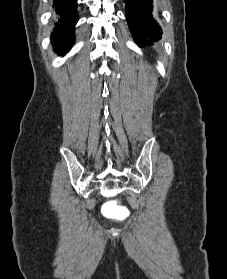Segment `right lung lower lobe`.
Instances as JSON below:
<instances>
[{"mask_svg": "<svg viewBox=\"0 0 227 279\" xmlns=\"http://www.w3.org/2000/svg\"><path fill=\"white\" fill-rule=\"evenodd\" d=\"M58 21L52 32L51 42L59 54H65L74 42V26L78 21L77 0H54Z\"/></svg>", "mask_w": 227, "mask_h": 279, "instance_id": "98d812e1", "label": "right lung lower lobe"}]
</instances>
